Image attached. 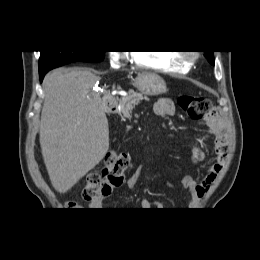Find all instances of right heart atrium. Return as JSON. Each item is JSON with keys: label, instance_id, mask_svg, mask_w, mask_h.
<instances>
[{"label": "right heart atrium", "instance_id": "d8ad5b80", "mask_svg": "<svg viewBox=\"0 0 260 260\" xmlns=\"http://www.w3.org/2000/svg\"><path fill=\"white\" fill-rule=\"evenodd\" d=\"M109 58H110V63L116 67L119 66L121 61L125 59V56L120 52H111Z\"/></svg>", "mask_w": 260, "mask_h": 260}]
</instances>
